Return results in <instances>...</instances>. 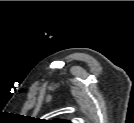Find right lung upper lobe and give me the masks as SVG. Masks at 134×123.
Listing matches in <instances>:
<instances>
[{"mask_svg": "<svg viewBox=\"0 0 134 123\" xmlns=\"http://www.w3.org/2000/svg\"><path fill=\"white\" fill-rule=\"evenodd\" d=\"M59 123H70L69 121H65V120H62V121H58Z\"/></svg>", "mask_w": 134, "mask_h": 123, "instance_id": "1", "label": "right lung upper lobe"}]
</instances>
